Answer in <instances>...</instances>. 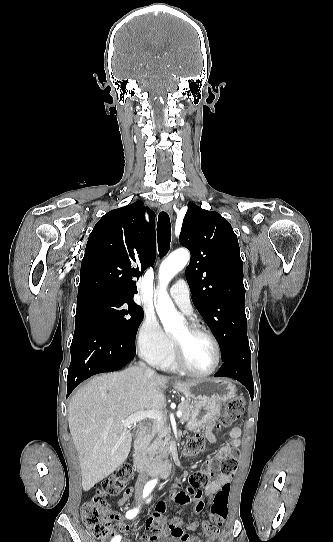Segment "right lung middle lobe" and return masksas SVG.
I'll use <instances>...</instances> for the list:
<instances>
[{
    "label": "right lung middle lobe",
    "mask_w": 333,
    "mask_h": 542,
    "mask_svg": "<svg viewBox=\"0 0 333 542\" xmlns=\"http://www.w3.org/2000/svg\"><path fill=\"white\" fill-rule=\"evenodd\" d=\"M77 312L95 314L119 335L120 340L128 346H135L136 333L144 317L142 308L135 303L94 295L77 304Z\"/></svg>",
    "instance_id": "dd1d6c3e"
}]
</instances>
